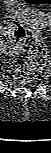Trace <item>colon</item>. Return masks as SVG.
Instances as JSON below:
<instances>
[{"label": "colon", "instance_id": "1", "mask_svg": "<svg viewBox=\"0 0 51 153\" xmlns=\"http://www.w3.org/2000/svg\"><path fill=\"white\" fill-rule=\"evenodd\" d=\"M29 5H49L51 0H24ZM1 49L8 54H19L26 42L24 28L15 20L7 19L1 23ZM30 64L22 59L16 60L11 67L12 77L19 83L33 80L44 68L47 60V47L44 35L37 31L28 53Z\"/></svg>", "mask_w": 51, "mask_h": 153}]
</instances>
